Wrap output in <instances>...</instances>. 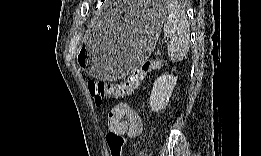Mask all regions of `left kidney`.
Here are the masks:
<instances>
[{
	"label": "left kidney",
	"mask_w": 261,
	"mask_h": 156,
	"mask_svg": "<svg viewBox=\"0 0 261 156\" xmlns=\"http://www.w3.org/2000/svg\"><path fill=\"white\" fill-rule=\"evenodd\" d=\"M176 83L177 77L172 74H163L155 80L149 100L152 111L159 112L168 105Z\"/></svg>",
	"instance_id": "5707ae66"
}]
</instances>
